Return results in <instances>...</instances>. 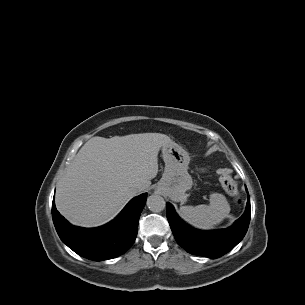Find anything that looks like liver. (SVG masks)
<instances>
[{"label": "liver", "mask_w": 305, "mask_h": 305, "mask_svg": "<svg viewBox=\"0 0 305 305\" xmlns=\"http://www.w3.org/2000/svg\"><path fill=\"white\" fill-rule=\"evenodd\" d=\"M172 142L160 133L89 139L57 185V210L77 226L97 227L111 221L150 186L158 173L159 150Z\"/></svg>", "instance_id": "obj_1"}]
</instances>
